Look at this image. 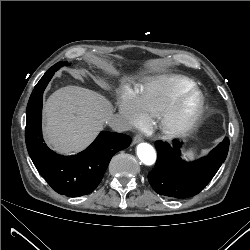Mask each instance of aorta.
I'll list each match as a JSON object with an SVG mask.
<instances>
[{"instance_id": "aorta-1", "label": "aorta", "mask_w": 250, "mask_h": 250, "mask_svg": "<svg viewBox=\"0 0 250 250\" xmlns=\"http://www.w3.org/2000/svg\"><path fill=\"white\" fill-rule=\"evenodd\" d=\"M137 155L142 163L145 165H152L156 161V152L154 148L148 143H140L137 146Z\"/></svg>"}]
</instances>
